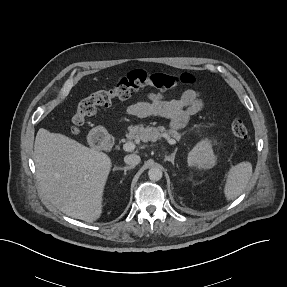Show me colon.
I'll list each match as a JSON object with an SVG mask.
<instances>
[{
  "mask_svg": "<svg viewBox=\"0 0 287 287\" xmlns=\"http://www.w3.org/2000/svg\"><path fill=\"white\" fill-rule=\"evenodd\" d=\"M196 81L190 73L167 74L148 73L144 70H134L121 78L116 85L108 90H99L87 98L80 100L72 117V132L78 134L86 119L92 116L98 107H107L115 99H128L134 92L146 86H154L161 90H168L178 86L192 85ZM232 133L240 138L248 136L244 122L236 117L231 122Z\"/></svg>",
  "mask_w": 287,
  "mask_h": 287,
  "instance_id": "5ec220e1",
  "label": "colon"
}]
</instances>
